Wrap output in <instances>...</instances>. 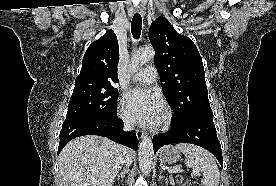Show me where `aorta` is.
<instances>
[{
	"label": "aorta",
	"instance_id": "aorta-1",
	"mask_svg": "<svg viewBox=\"0 0 276 186\" xmlns=\"http://www.w3.org/2000/svg\"><path fill=\"white\" fill-rule=\"evenodd\" d=\"M155 51L152 47L144 48L133 53L129 68L132 72L139 70L146 62L153 60ZM139 167L140 170L148 174L152 169L153 164V143L152 139L144 136L139 144Z\"/></svg>",
	"mask_w": 276,
	"mask_h": 186
}]
</instances>
